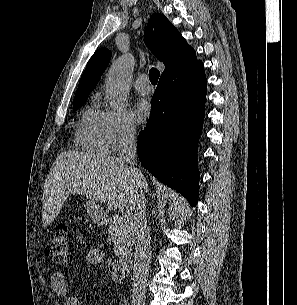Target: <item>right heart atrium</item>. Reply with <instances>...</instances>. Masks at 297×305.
I'll return each instance as SVG.
<instances>
[{"instance_id":"right-heart-atrium-1","label":"right heart atrium","mask_w":297,"mask_h":305,"mask_svg":"<svg viewBox=\"0 0 297 305\" xmlns=\"http://www.w3.org/2000/svg\"><path fill=\"white\" fill-rule=\"evenodd\" d=\"M105 124L109 147L114 151L122 150L137 138L136 126L126 112H107Z\"/></svg>"}]
</instances>
